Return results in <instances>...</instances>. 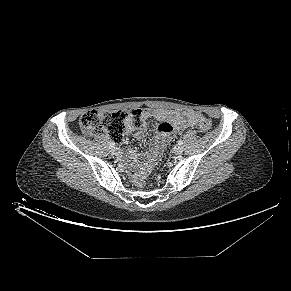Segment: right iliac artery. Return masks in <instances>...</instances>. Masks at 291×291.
Here are the masks:
<instances>
[{
	"mask_svg": "<svg viewBox=\"0 0 291 291\" xmlns=\"http://www.w3.org/2000/svg\"><path fill=\"white\" fill-rule=\"evenodd\" d=\"M109 146H110V148L113 149L115 147V144L113 142H111Z\"/></svg>",
	"mask_w": 291,
	"mask_h": 291,
	"instance_id": "right-iliac-artery-1",
	"label": "right iliac artery"
}]
</instances>
